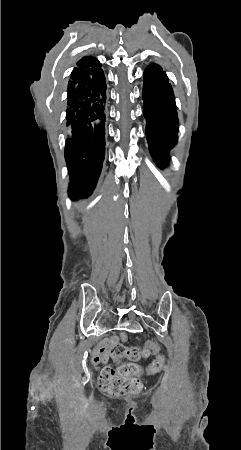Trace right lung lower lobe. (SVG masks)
Here are the masks:
<instances>
[{
  "instance_id": "98d812e1",
  "label": "right lung lower lobe",
  "mask_w": 241,
  "mask_h": 450,
  "mask_svg": "<svg viewBox=\"0 0 241 450\" xmlns=\"http://www.w3.org/2000/svg\"><path fill=\"white\" fill-rule=\"evenodd\" d=\"M106 80L97 60L73 69L67 89L66 121L70 134L65 159L69 196L88 197L101 173L105 156Z\"/></svg>"
}]
</instances>
